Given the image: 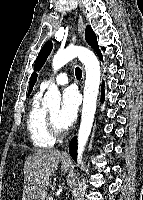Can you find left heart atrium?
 Returning a JSON list of instances; mask_svg holds the SVG:
<instances>
[{"mask_svg":"<svg viewBox=\"0 0 143 200\" xmlns=\"http://www.w3.org/2000/svg\"><path fill=\"white\" fill-rule=\"evenodd\" d=\"M79 103V95L74 87H68L63 91L62 105L58 112V121L63 129L68 128L75 121Z\"/></svg>","mask_w":143,"mask_h":200,"instance_id":"obj_1","label":"left heart atrium"}]
</instances>
